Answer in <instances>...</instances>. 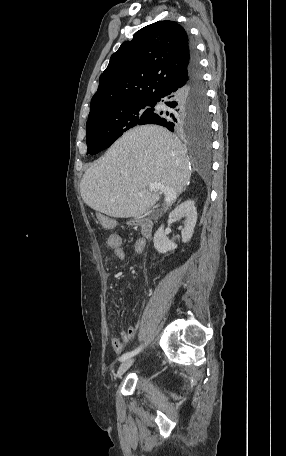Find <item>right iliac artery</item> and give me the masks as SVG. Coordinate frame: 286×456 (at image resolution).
<instances>
[{"label": "right iliac artery", "instance_id": "obj_1", "mask_svg": "<svg viewBox=\"0 0 286 456\" xmlns=\"http://www.w3.org/2000/svg\"><path fill=\"white\" fill-rule=\"evenodd\" d=\"M141 349H142V346L138 347L137 349H135V350H133V351L126 352L125 354H123V355L120 357L119 361L123 362V361H125L126 359H128V358H130V357L136 355L137 353L140 352Z\"/></svg>", "mask_w": 286, "mask_h": 456}]
</instances>
